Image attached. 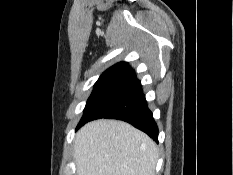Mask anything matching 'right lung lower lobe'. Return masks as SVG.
I'll list each match as a JSON object with an SVG mask.
<instances>
[{"instance_id":"right-lung-lower-lobe-1","label":"right lung lower lobe","mask_w":233,"mask_h":175,"mask_svg":"<svg viewBox=\"0 0 233 175\" xmlns=\"http://www.w3.org/2000/svg\"><path fill=\"white\" fill-rule=\"evenodd\" d=\"M99 118L126 121L148 134L154 141L158 142V127L153 119L152 112L147 107V102L139 80H135L129 88L102 108L93 117L80 123L77 128L91 120Z\"/></svg>"}]
</instances>
